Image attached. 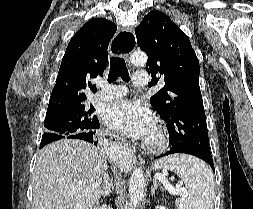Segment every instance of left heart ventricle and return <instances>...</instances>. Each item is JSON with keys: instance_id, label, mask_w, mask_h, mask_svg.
<instances>
[{"instance_id": "b2bd125f", "label": "left heart ventricle", "mask_w": 253, "mask_h": 209, "mask_svg": "<svg viewBox=\"0 0 253 209\" xmlns=\"http://www.w3.org/2000/svg\"><path fill=\"white\" fill-rule=\"evenodd\" d=\"M154 134H155V130L153 128L152 132L150 133V135L148 136V138H153L154 137Z\"/></svg>"}]
</instances>
